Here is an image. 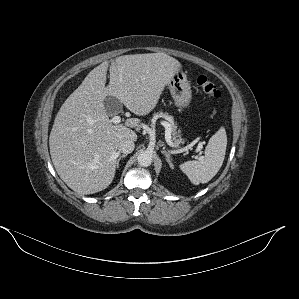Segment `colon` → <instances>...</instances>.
Masks as SVG:
<instances>
[{"label":"colon","instance_id":"5ec220e1","mask_svg":"<svg viewBox=\"0 0 299 299\" xmlns=\"http://www.w3.org/2000/svg\"><path fill=\"white\" fill-rule=\"evenodd\" d=\"M196 84L198 85L200 90L209 97L218 99L222 95L217 86L206 76H198L196 79Z\"/></svg>","mask_w":299,"mask_h":299}]
</instances>
